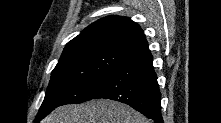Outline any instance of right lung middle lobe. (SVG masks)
I'll use <instances>...</instances> for the list:
<instances>
[{
    "label": "right lung middle lobe",
    "mask_w": 221,
    "mask_h": 123,
    "mask_svg": "<svg viewBox=\"0 0 221 123\" xmlns=\"http://www.w3.org/2000/svg\"><path fill=\"white\" fill-rule=\"evenodd\" d=\"M129 58L106 49H86L61 56L36 119L58 106L88 101L97 83Z\"/></svg>",
    "instance_id": "right-lung-middle-lobe-1"
}]
</instances>
